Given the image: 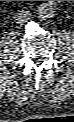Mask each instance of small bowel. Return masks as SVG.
Returning <instances> with one entry per match:
<instances>
[{
  "mask_svg": "<svg viewBox=\"0 0 74 122\" xmlns=\"http://www.w3.org/2000/svg\"><path fill=\"white\" fill-rule=\"evenodd\" d=\"M41 13L43 12L46 14H50L51 11L53 10V2L52 1H48L45 5H43L41 8Z\"/></svg>",
  "mask_w": 74,
  "mask_h": 122,
  "instance_id": "small-bowel-1",
  "label": "small bowel"
}]
</instances>
